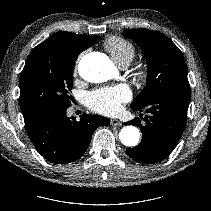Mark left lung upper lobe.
<instances>
[{
  "instance_id": "5c2ea615",
  "label": "left lung upper lobe",
  "mask_w": 211,
  "mask_h": 211,
  "mask_svg": "<svg viewBox=\"0 0 211 211\" xmlns=\"http://www.w3.org/2000/svg\"><path fill=\"white\" fill-rule=\"evenodd\" d=\"M123 35L138 44L147 60V83L132 108L143 107L172 89H190L183 54L168 37L145 28L127 30Z\"/></svg>"
}]
</instances>
